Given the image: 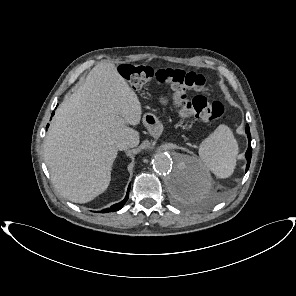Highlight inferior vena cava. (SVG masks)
I'll return each instance as SVG.
<instances>
[{
    "instance_id": "inferior-vena-cava-1",
    "label": "inferior vena cava",
    "mask_w": 296,
    "mask_h": 296,
    "mask_svg": "<svg viewBox=\"0 0 296 296\" xmlns=\"http://www.w3.org/2000/svg\"><path fill=\"white\" fill-rule=\"evenodd\" d=\"M116 146L119 150H126L130 147H133L134 146V143L127 139V138H124V139H121L119 140L117 143H116Z\"/></svg>"
}]
</instances>
